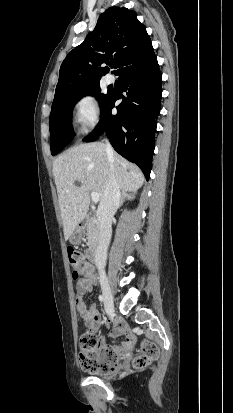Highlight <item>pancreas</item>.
<instances>
[{
	"label": "pancreas",
	"instance_id": "cf45deb5",
	"mask_svg": "<svg viewBox=\"0 0 233 413\" xmlns=\"http://www.w3.org/2000/svg\"><path fill=\"white\" fill-rule=\"evenodd\" d=\"M86 231H87L86 235H87L88 245L90 247H93L99 237L98 225L92 219L87 220Z\"/></svg>",
	"mask_w": 233,
	"mask_h": 413
}]
</instances>
